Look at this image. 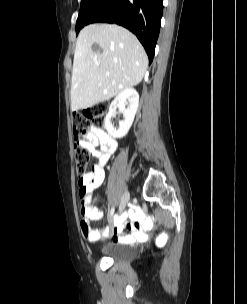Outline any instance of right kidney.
<instances>
[{"mask_svg": "<svg viewBox=\"0 0 247 304\" xmlns=\"http://www.w3.org/2000/svg\"><path fill=\"white\" fill-rule=\"evenodd\" d=\"M139 104V95L133 88L122 90L112 101L109 112L105 117L104 124L107 132L114 138L124 137L133 121ZM127 106V107H126ZM119 108L123 114L124 120L119 121V127L116 128L111 122L112 117L116 115V109Z\"/></svg>", "mask_w": 247, "mask_h": 304, "instance_id": "ca27d5eb", "label": "right kidney"}]
</instances>
